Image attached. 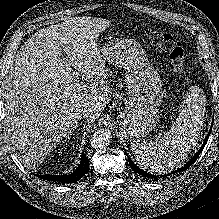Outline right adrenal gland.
I'll use <instances>...</instances> for the list:
<instances>
[{"label":"right adrenal gland","instance_id":"obj_1","mask_svg":"<svg viewBox=\"0 0 219 219\" xmlns=\"http://www.w3.org/2000/svg\"><path fill=\"white\" fill-rule=\"evenodd\" d=\"M76 129V128H75ZM75 129H73L72 131H70V133L68 134V137H69V135H72L73 134V132L75 131Z\"/></svg>","mask_w":219,"mask_h":219}]
</instances>
